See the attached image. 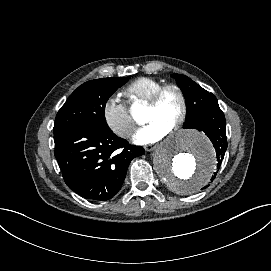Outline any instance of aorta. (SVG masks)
Returning a JSON list of instances; mask_svg holds the SVG:
<instances>
[{"label": "aorta", "mask_w": 271, "mask_h": 271, "mask_svg": "<svg viewBox=\"0 0 271 271\" xmlns=\"http://www.w3.org/2000/svg\"><path fill=\"white\" fill-rule=\"evenodd\" d=\"M140 121L139 110L133 113ZM154 168L161 180L176 194L198 192L216 169V156L200 132L181 130L161 142L153 154Z\"/></svg>", "instance_id": "1"}]
</instances>
